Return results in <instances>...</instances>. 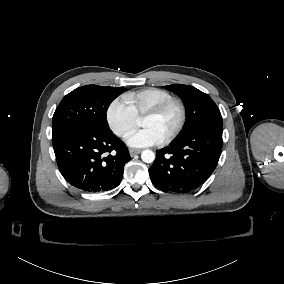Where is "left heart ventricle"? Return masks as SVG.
<instances>
[{
    "label": "left heart ventricle",
    "mask_w": 284,
    "mask_h": 284,
    "mask_svg": "<svg viewBox=\"0 0 284 284\" xmlns=\"http://www.w3.org/2000/svg\"><path fill=\"white\" fill-rule=\"evenodd\" d=\"M177 118L178 114L176 109H170L158 117H142L141 126L151 128L162 140L173 130L177 122Z\"/></svg>",
    "instance_id": "left-heart-ventricle-1"
}]
</instances>
